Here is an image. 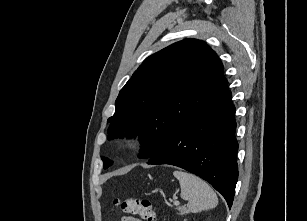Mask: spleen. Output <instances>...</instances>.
I'll list each match as a JSON object with an SVG mask.
<instances>
[{
    "label": "spleen",
    "instance_id": "1",
    "mask_svg": "<svg viewBox=\"0 0 307 221\" xmlns=\"http://www.w3.org/2000/svg\"><path fill=\"white\" fill-rule=\"evenodd\" d=\"M173 175L179 180L181 197L188 201V212L197 213L217 206V195L204 180L188 172L177 170L173 172Z\"/></svg>",
    "mask_w": 307,
    "mask_h": 221
}]
</instances>
